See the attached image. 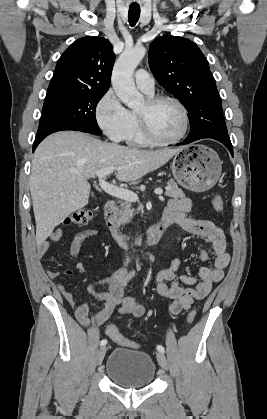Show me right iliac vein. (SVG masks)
I'll return each instance as SVG.
<instances>
[{"label": "right iliac vein", "mask_w": 267, "mask_h": 419, "mask_svg": "<svg viewBox=\"0 0 267 419\" xmlns=\"http://www.w3.org/2000/svg\"><path fill=\"white\" fill-rule=\"evenodd\" d=\"M105 353H106V347L103 346L99 349L98 354H97V364L98 365L101 364V362L103 361Z\"/></svg>", "instance_id": "obj_1"}]
</instances>
